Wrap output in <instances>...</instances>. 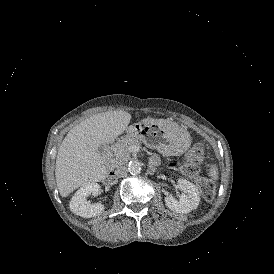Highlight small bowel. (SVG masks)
Segmentation results:
<instances>
[{"instance_id":"obj_1","label":"small bowel","mask_w":274,"mask_h":274,"mask_svg":"<svg viewBox=\"0 0 274 274\" xmlns=\"http://www.w3.org/2000/svg\"><path fill=\"white\" fill-rule=\"evenodd\" d=\"M153 163H154V164L156 163V160H155V159L153 160Z\"/></svg>"}]
</instances>
